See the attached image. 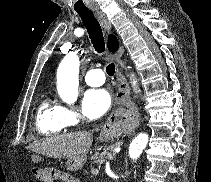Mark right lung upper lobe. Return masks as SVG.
Listing matches in <instances>:
<instances>
[{
  "label": "right lung upper lobe",
  "instance_id": "1",
  "mask_svg": "<svg viewBox=\"0 0 211 182\" xmlns=\"http://www.w3.org/2000/svg\"><path fill=\"white\" fill-rule=\"evenodd\" d=\"M108 50L111 52H115L118 50V40L114 35H110L108 37Z\"/></svg>",
  "mask_w": 211,
  "mask_h": 182
}]
</instances>
